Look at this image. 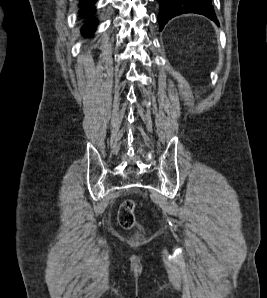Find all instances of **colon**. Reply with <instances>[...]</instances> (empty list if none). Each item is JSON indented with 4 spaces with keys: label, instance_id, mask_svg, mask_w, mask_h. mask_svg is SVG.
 Wrapping results in <instances>:
<instances>
[{
    "label": "colon",
    "instance_id": "1",
    "mask_svg": "<svg viewBox=\"0 0 267 298\" xmlns=\"http://www.w3.org/2000/svg\"><path fill=\"white\" fill-rule=\"evenodd\" d=\"M135 202L133 200L125 201L118 212L119 224L126 230L133 229L137 226V221L135 218Z\"/></svg>",
    "mask_w": 267,
    "mask_h": 298
}]
</instances>
